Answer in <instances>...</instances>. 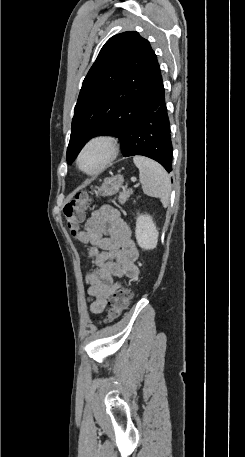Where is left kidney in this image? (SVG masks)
Segmentation results:
<instances>
[{
	"label": "left kidney",
	"mask_w": 245,
	"mask_h": 457,
	"mask_svg": "<svg viewBox=\"0 0 245 457\" xmlns=\"http://www.w3.org/2000/svg\"><path fill=\"white\" fill-rule=\"evenodd\" d=\"M135 237L141 249H155L159 233L150 214H139L137 216Z\"/></svg>",
	"instance_id": "left-kidney-1"
}]
</instances>
